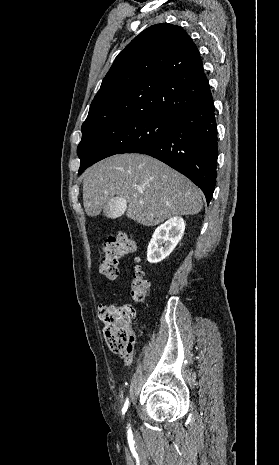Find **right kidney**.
Returning a JSON list of instances; mask_svg holds the SVG:
<instances>
[{"label":"right kidney","instance_id":"ca27d5eb","mask_svg":"<svg viewBox=\"0 0 279 465\" xmlns=\"http://www.w3.org/2000/svg\"><path fill=\"white\" fill-rule=\"evenodd\" d=\"M184 230L185 222L181 217H173L158 226L148 245V262L158 263L169 256L183 237Z\"/></svg>","mask_w":279,"mask_h":465}]
</instances>
